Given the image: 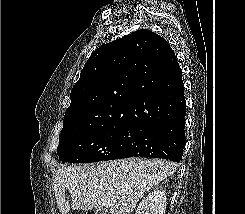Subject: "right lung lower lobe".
<instances>
[{"instance_id": "1", "label": "right lung lower lobe", "mask_w": 245, "mask_h": 214, "mask_svg": "<svg viewBox=\"0 0 245 214\" xmlns=\"http://www.w3.org/2000/svg\"><path fill=\"white\" fill-rule=\"evenodd\" d=\"M165 75L166 87L144 100L141 111L131 120L116 159L154 157L175 162L182 159L186 103L176 56L169 61Z\"/></svg>"}]
</instances>
